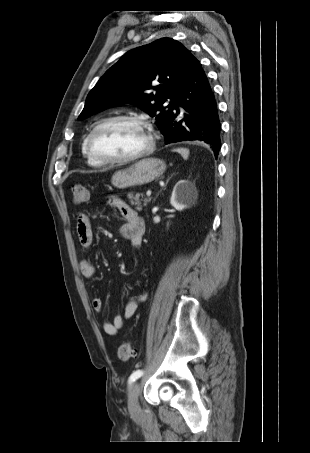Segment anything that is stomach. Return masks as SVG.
Instances as JSON below:
<instances>
[{
    "label": "stomach",
    "mask_w": 310,
    "mask_h": 453,
    "mask_svg": "<svg viewBox=\"0 0 310 453\" xmlns=\"http://www.w3.org/2000/svg\"><path fill=\"white\" fill-rule=\"evenodd\" d=\"M166 170V164L158 158H145L132 166L116 171L111 183L118 189L148 184L160 177Z\"/></svg>",
    "instance_id": "0dacf381"
}]
</instances>
